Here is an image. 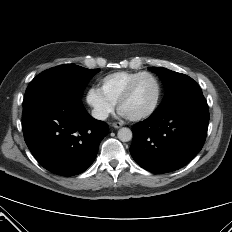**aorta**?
<instances>
[{"label": "aorta", "instance_id": "obj_1", "mask_svg": "<svg viewBox=\"0 0 232 232\" xmlns=\"http://www.w3.org/2000/svg\"><path fill=\"white\" fill-rule=\"evenodd\" d=\"M117 136L120 141L128 142L132 139V131L127 127H123L119 129Z\"/></svg>", "mask_w": 232, "mask_h": 232}]
</instances>
